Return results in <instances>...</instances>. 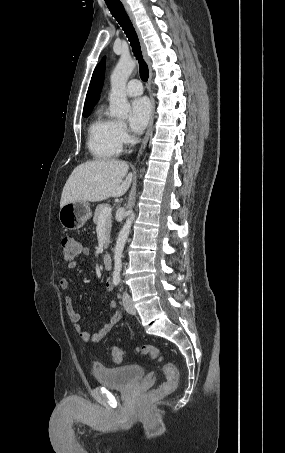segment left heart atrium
Here are the masks:
<instances>
[{"label":"left heart atrium","instance_id":"1","mask_svg":"<svg viewBox=\"0 0 285 453\" xmlns=\"http://www.w3.org/2000/svg\"><path fill=\"white\" fill-rule=\"evenodd\" d=\"M151 106L146 98H137L130 103L129 124L133 132L141 133L147 126Z\"/></svg>","mask_w":285,"mask_h":453}]
</instances>
